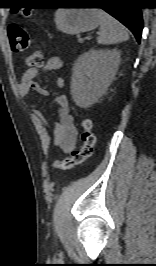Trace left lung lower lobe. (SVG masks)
Instances as JSON below:
<instances>
[{
	"instance_id": "0a47b994",
	"label": "left lung lower lobe",
	"mask_w": 156,
	"mask_h": 266,
	"mask_svg": "<svg viewBox=\"0 0 156 266\" xmlns=\"http://www.w3.org/2000/svg\"><path fill=\"white\" fill-rule=\"evenodd\" d=\"M69 3L82 5H101L99 8L104 9L107 13L115 17L124 24L136 37L140 43L143 18L141 8L136 6L133 0H68Z\"/></svg>"
}]
</instances>
